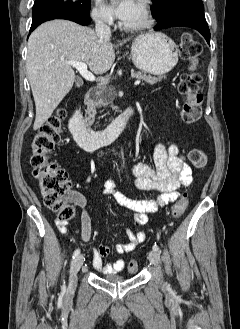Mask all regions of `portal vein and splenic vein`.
<instances>
[{
  "instance_id": "18ae733b",
  "label": "portal vein and splenic vein",
  "mask_w": 240,
  "mask_h": 329,
  "mask_svg": "<svg viewBox=\"0 0 240 329\" xmlns=\"http://www.w3.org/2000/svg\"><path fill=\"white\" fill-rule=\"evenodd\" d=\"M66 63L75 67L84 79L88 81H95L96 79L95 76L87 70V65L85 63L77 62V61H66ZM140 82H141L140 80H136L134 82V85L137 86L140 84Z\"/></svg>"
}]
</instances>
